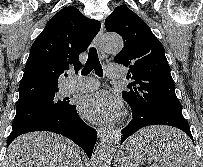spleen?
Instances as JSON below:
<instances>
[{"instance_id":"3e777b00","label":"spleen","mask_w":203,"mask_h":167,"mask_svg":"<svg viewBox=\"0 0 203 167\" xmlns=\"http://www.w3.org/2000/svg\"><path fill=\"white\" fill-rule=\"evenodd\" d=\"M184 141H187L186 137H178L175 140L167 137L160 141L157 148L135 149V161L137 164L152 161L151 167H196V157L191 146L189 145V148L185 149L180 146ZM171 148L174 151L168 153L167 150Z\"/></svg>"}]
</instances>
